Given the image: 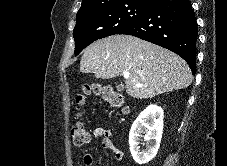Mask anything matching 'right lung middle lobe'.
<instances>
[{"mask_svg": "<svg viewBox=\"0 0 227 166\" xmlns=\"http://www.w3.org/2000/svg\"><path fill=\"white\" fill-rule=\"evenodd\" d=\"M150 8L141 3H126L77 14L73 31L75 55L95 40L118 34L142 18Z\"/></svg>", "mask_w": 227, "mask_h": 166, "instance_id": "1", "label": "right lung middle lobe"}]
</instances>
